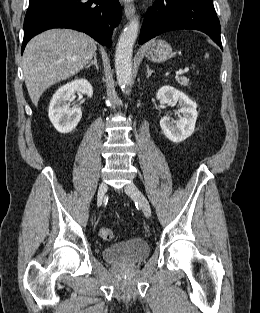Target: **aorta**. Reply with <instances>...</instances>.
Listing matches in <instances>:
<instances>
[{
    "instance_id": "obj_1",
    "label": "aorta",
    "mask_w": 260,
    "mask_h": 313,
    "mask_svg": "<svg viewBox=\"0 0 260 313\" xmlns=\"http://www.w3.org/2000/svg\"><path fill=\"white\" fill-rule=\"evenodd\" d=\"M139 32V19L134 17L122 31L115 53V69L119 86L123 89L132 81V52Z\"/></svg>"
}]
</instances>
